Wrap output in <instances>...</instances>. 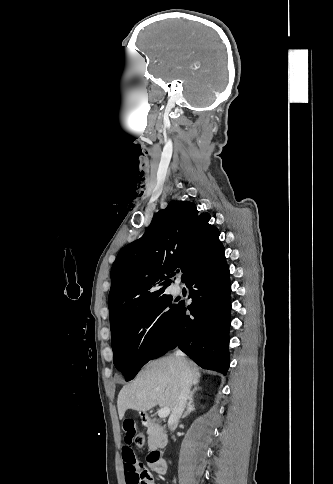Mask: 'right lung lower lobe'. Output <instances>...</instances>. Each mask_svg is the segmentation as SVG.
Instances as JSON below:
<instances>
[{"label":"right lung lower lobe","mask_w":333,"mask_h":484,"mask_svg":"<svg viewBox=\"0 0 333 484\" xmlns=\"http://www.w3.org/2000/svg\"><path fill=\"white\" fill-rule=\"evenodd\" d=\"M229 268L223 246L186 282L192 303L180 305L167 334L151 359L178 346L205 369L227 373L229 367L230 293ZM190 310L192 316L185 314Z\"/></svg>","instance_id":"98d812e1"}]
</instances>
